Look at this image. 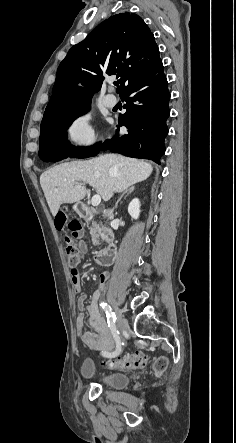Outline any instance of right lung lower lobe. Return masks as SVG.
<instances>
[{
  "label": "right lung lower lobe",
  "mask_w": 236,
  "mask_h": 443,
  "mask_svg": "<svg viewBox=\"0 0 236 443\" xmlns=\"http://www.w3.org/2000/svg\"><path fill=\"white\" fill-rule=\"evenodd\" d=\"M120 96L127 102V111L119 116V126L128 129L127 135L116 136L103 144L96 143L87 148L49 146L39 151V157L46 162H57L68 157L87 158L95 156L100 150H110L160 164V158L165 152L164 138L168 134L166 120L169 117L170 100L161 59L150 70L132 80Z\"/></svg>",
  "instance_id": "obj_1"
}]
</instances>
